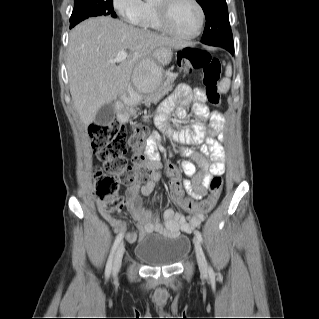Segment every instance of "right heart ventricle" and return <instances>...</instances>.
<instances>
[{"mask_svg":"<svg viewBox=\"0 0 319 319\" xmlns=\"http://www.w3.org/2000/svg\"><path fill=\"white\" fill-rule=\"evenodd\" d=\"M139 25L145 29H151V30L162 29L157 16L155 2L147 0L144 3V9L140 17Z\"/></svg>","mask_w":319,"mask_h":319,"instance_id":"e07e8e85","label":"right heart ventricle"}]
</instances>
